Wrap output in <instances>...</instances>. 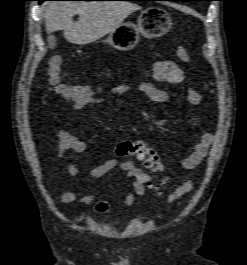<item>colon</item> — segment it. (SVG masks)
I'll return each mask as SVG.
<instances>
[{
	"label": "colon",
	"instance_id": "colon-1",
	"mask_svg": "<svg viewBox=\"0 0 247 265\" xmlns=\"http://www.w3.org/2000/svg\"><path fill=\"white\" fill-rule=\"evenodd\" d=\"M176 55L182 62H189L190 55L185 46H178ZM62 57L55 55L51 58L47 69V77L50 85L53 86L55 93L64 100L73 103L79 102L85 105L102 104L106 102L105 95L99 88L89 85L66 84L62 81ZM115 155L119 158L135 157L146 168L156 173H162L164 167L158 153L142 141H122L115 148ZM163 180H159L162 183ZM193 188L191 181H185L178 186L169 196L171 204L178 203L179 200L188 194Z\"/></svg>",
	"mask_w": 247,
	"mask_h": 265
}]
</instances>
